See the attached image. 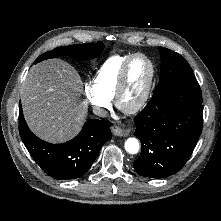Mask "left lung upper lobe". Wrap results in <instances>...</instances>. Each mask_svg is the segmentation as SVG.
I'll return each mask as SVG.
<instances>
[{"instance_id":"left-lung-upper-lobe-1","label":"left lung upper lobe","mask_w":221,"mask_h":221,"mask_svg":"<svg viewBox=\"0 0 221 221\" xmlns=\"http://www.w3.org/2000/svg\"><path fill=\"white\" fill-rule=\"evenodd\" d=\"M158 51L161 56V71L153 96L164 93L175 84L195 79L193 71L184 57L163 47H159Z\"/></svg>"}]
</instances>
